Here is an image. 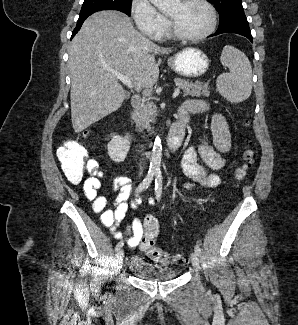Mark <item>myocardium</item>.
<instances>
[{
	"label": "myocardium",
	"mask_w": 298,
	"mask_h": 325,
	"mask_svg": "<svg viewBox=\"0 0 298 325\" xmlns=\"http://www.w3.org/2000/svg\"><path fill=\"white\" fill-rule=\"evenodd\" d=\"M176 1L182 2L185 0H176ZM193 1L198 3L200 6H202L207 13L208 24H207L206 28L201 33H199L197 35L185 36V35L179 33L175 29V27L172 24L170 15L166 11L163 10L165 13V16L167 18V24H168V28H167V32H166L167 37L177 40V41H182V42H198V41L205 39L207 36H209L213 32L214 27H215V16H214L211 6L204 0H193Z\"/></svg>",
	"instance_id": "1"
}]
</instances>
